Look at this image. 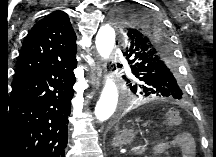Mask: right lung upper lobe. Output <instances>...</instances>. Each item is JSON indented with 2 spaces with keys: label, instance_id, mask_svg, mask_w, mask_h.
<instances>
[{
  "label": "right lung upper lobe",
  "instance_id": "obj_1",
  "mask_svg": "<svg viewBox=\"0 0 216 157\" xmlns=\"http://www.w3.org/2000/svg\"><path fill=\"white\" fill-rule=\"evenodd\" d=\"M76 51V35L68 15L60 10L50 13L26 36L12 86L53 64L75 58Z\"/></svg>",
  "mask_w": 216,
  "mask_h": 157
}]
</instances>
